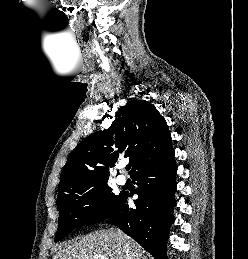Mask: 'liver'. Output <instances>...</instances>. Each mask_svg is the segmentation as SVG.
I'll list each match as a JSON object with an SVG mask.
<instances>
[{"instance_id":"obj_1","label":"liver","mask_w":248,"mask_h":259,"mask_svg":"<svg viewBox=\"0 0 248 259\" xmlns=\"http://www.w3.org/2000/svg\"><path fill=\"white\" fill-rule=\"evenodd\" d=\"M127 250L132 259H147L142 247L126 234H118L116 230H99L74 240L60 249L53 259H94L99 255L126 259Z\"/></svg>"}]
</instances>
